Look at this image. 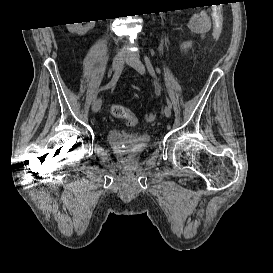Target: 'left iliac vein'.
I'll return each mask as SVG.
<instances>
[{"label": "left iliac vein", "instance_id": "1", "mask_svg": "<svg viewBox=\"0 0 273 273\" xmlns=\"http://www.w3.org/2000/svg\"><path fill=\"white\" fill-rule=\"evenodd\" d=\"M128 63L131 67H133L138 73L141 75L145 74V66L141 62V60L137 57V55L133 54L130 56ZM164 113L166 117L171 116V109L168 106H165Z\"/></svg>", "mask_w": 273, "mask_h": 273}]
</instances>
